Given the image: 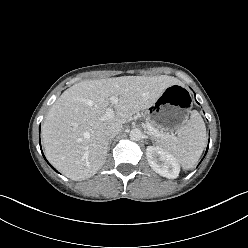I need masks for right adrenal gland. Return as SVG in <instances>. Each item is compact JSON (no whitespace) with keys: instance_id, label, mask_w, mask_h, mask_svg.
Masks as SVG:
<instances>
[{"instance_id":"right-adrenal-gland-1","label":"right adrenal gland","mask_w":248,"mask_h":248,"mask_svg":"<svg viewBox=\"0 0 248 248\" xmlns=\"http://www.w3.org/2000/svg\"><path fill=\"white\" fill-rule=\"evenodd\" d=\"M110 145H111V140L109 141V147H110Z\"/></svg>"}]
</instances>
